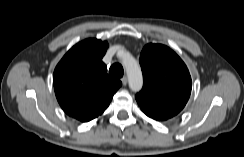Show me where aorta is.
<instances>
[{
  "instance_id": "762f6f07",
  "label": "aorta",
  "mask_w": 244,
  "mask_h": 157,
  "mask_svg": "<svg viewBox=\"0 0 244 157\" xmlns=\"http://www.w3.org/2000/svg\"><path fill=\"white\" fill-rule=\"evenodd\" d=\"M122 63L127 73L130 89L133 91L141 90L143 85V77L141 69L136 60L130 55L124 54Z\"/></svg>"
}]
</instances>
